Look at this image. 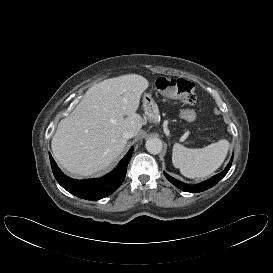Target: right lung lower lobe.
Segmentation results:
<instances>
[{"instance_id": "98d812e1", "label": "right lung lower lobe", "mask_w": 273, "mask_h": 273, "mask_svg": "<svg viewBox=\"0 0 273 273\" xmlns=\"http://www.w3.org/2000/svg\"><path fill=\"white\" fill-rule=\"evenodd\" d=\"M133 147L120 161L119 165L108 175L89 180H74L64 175L49 154L53 174L58 183L73 195L87 199L99 200L113 193L124 181L126 169L131 158Z\"/></svg>"}]
</instances>
